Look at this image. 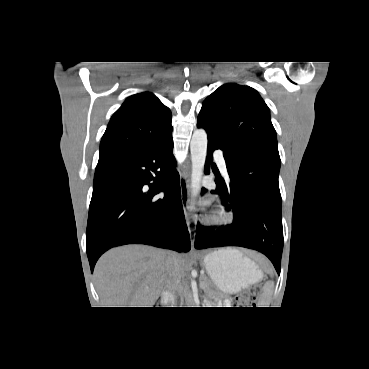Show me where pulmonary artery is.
Masks as SVG:
<instances>
[{"label":"pulmonary artery","mask_w":369,"mask_h":369,"mask_svg":"<svg viewBox=\"0 0 369 369\" xmlns=\"http://www.w3.org/2000/svg\"><path fill=\"white\" fill-rule=\"evenodd\" d=\"M215 159H216V162L219 166V168L221 169V171L225 174H227V167H226V162H225V159L222 155L221 152H215Z\"/></svg>","instance_id":"obj_1"}]
</instances>
